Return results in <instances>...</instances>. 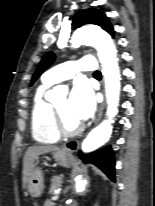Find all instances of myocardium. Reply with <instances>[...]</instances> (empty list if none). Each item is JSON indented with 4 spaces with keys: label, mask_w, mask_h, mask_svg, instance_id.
<instances>
[{
    "label": "myocardium",
    "mask_w": 155,
    "mask_h": 206,
    "mask_svg": "<svg viewBox=\"0 0 155 206\" xmlns=\"http://www.w3.org/2000/svg\"><path fill=\"white\" fill-rule=\"evenodd\" d=\"M52 108V115H53V122L54 125L59 132L60 135L64 136H74L82 132L83 125L81 123L75 126H68L61 114L59 113L58 109L54 104L51 105Z\"/></svg>",
    "instance_id": "1"
}]
</instances>
